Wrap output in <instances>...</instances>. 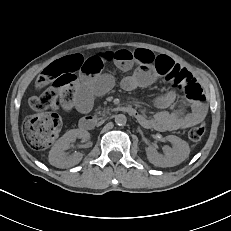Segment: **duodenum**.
I'll return each mask as SVG.
<instances>
[{"label":"duodenum","mask_w":231,"mask_h":231,"mask_svg":"<svg viewBox=\"0 0 231 231\" xmlns=\"http://www.w3.org/2000/svg\"><path fill=\"white\" fill-rule=\"evenodd\" d=\"M119 111L129 114L131 117H133L136 120H139L142 117L134 108L130 106H121L119 108ZM95 123H96V120L94 117L84 116L83 118H81L79 122V128L82 131H87V130L92 129Z\"/></svg>","instance_id":"duodenum-1"}]
</instances>
